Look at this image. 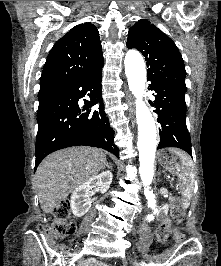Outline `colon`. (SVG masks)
Masks as SVG:
<instances>
[{
	"mask_svg": "<svg viewBox=\"0 0 221 266\" xmlns=\"http://www.w3.org/2000/svg\"><path fill=\"white\" fill-rule=\"evenodd\" d=\"M185 209L179 199L175 198L171 204L170 216L157 228L156 237L160 242H165L172 232V228L182 223ZM39 230L50 232L58 237H66L75 233L76 226L70 214V202H60L54 209V221L51 226H39ZM175 238L181 242L184 238L180 232L175 233Z\"/></svg>",
	"mask_w": 221,
	"mask_h": 266,
	"instance_id": "1",
	"label": "colon"
}]
</instances>
